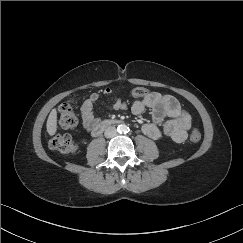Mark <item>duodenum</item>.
Returning a JSON list of instances; mask_svg holds the SVG:
<instances>
[{
	"label": "duodenum",
	"mask_w": 243,
	"mask_h": 243,
	"mask_svg": "<svg viewBox=\"0 0 243 243\" xmlns=\"http://www.w3.org/2000/svg\"><path fill=\"white\" fill-rule=\"evenodd\" d=\"M117 123L115 120H105L99 123L93 130H92V136L93 137H98L101 135V133L108 128L109 126Z\"/></svg>",
	"instance_id": "obj_1"
}]
</instances>
